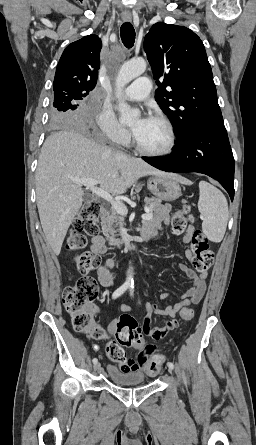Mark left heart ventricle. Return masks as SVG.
<instances>
[{
  "mask_svg": "<svg viewBox=\"0 0 256 445\" xmlns=\"http://www.w3.org/2000/svg\"><path fill=\"white\" fill-rule=\"evenodd\" d=\"M137 122L133 124V128ZM134 135L140 145L149 150H161L167 146L169 140L165 126L152 119H147Z\"/></svg>",
  "mask_w": 256,
  "mask_h": 445,
  "instance_id": "1",
  "label": "left heart ventricle"
}]
</instances>
